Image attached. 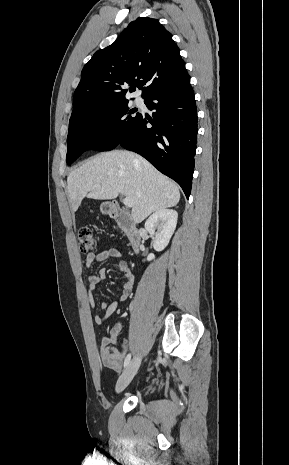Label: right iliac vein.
Wrapping results in <instances>:
<instances>
[{"label":"right iliac vein","instance_id":"right-iliac-vein-1","mask_svg":"<svg viewBox=\"0 0 289 465\" xmlns=\"http://www.w3.org/2000/svg\"><path fill=\"white\" fill-rule=\"evenodd\" d=\"M140 363H141L140 355L135 356L130 361V363L128 364V366L126 367V369L124 370V372L121 374V376L119 377L117 381V384H116L117 393L122 392L129 385V383L132 381L133 377L137 373Z\"/></svg>","mask_w":289,"mask_h":465}]
</instances>
